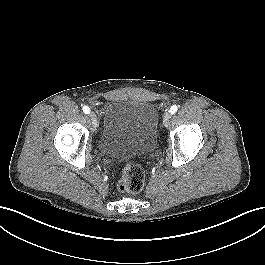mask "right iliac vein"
<instances>
[{
    "label": "right iliac vein",
    "mask_w": 265,
    "mask_h": 265,
    "mask_svg": "<svg viewBox=\"0 0 265 265\" xmlns=\"http://www.w3.org/2000/svg\"><path fill=\"white\" fill-rule=\"evenodd\" d=\"M90 118H91V121H92L93 128L96 129L98 127V125H99V122H98L96 114L94 112H91L90 113Z\"/></svg>",
    "instance_id": "right-iliac-vein-1"
}]
</instances>
